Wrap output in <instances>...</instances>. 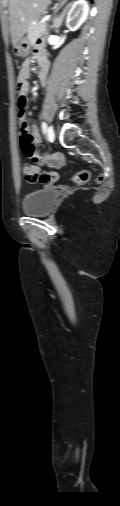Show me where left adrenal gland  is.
Segmentation results:
<instances>
[{
    "mask_svg": "<svg viewBox=\"0 0 120 506\" xmlns=\"http://www.w3.org/2000/svg\"><path fill=\"white\" fill-rule=\"evenodd\" d=\"M71 5H72V4L70 3V4L67 6V8L63 11V13H62L60 16H58V17H56V18H55V20H54V28H55L56 33H58V32H59V28H60V26H61V24H62L63 17H64V15H65V13H66L67 9H68Z\"/></svg>",
    "mask_w": 120,
    "mask_h": 506,
    "instance_id": "1",
    "label": "left adrenal gland"
}]
</instances>
